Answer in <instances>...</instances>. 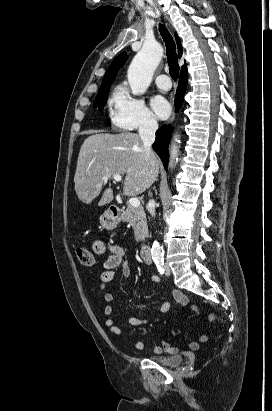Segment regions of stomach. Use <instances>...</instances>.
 Returning <instances> with one entry per match:
<instances>
[{
  "label": "stomach",
  "mask_w": 272,
  "mask_h": 411,
  "mask_svg": "<svg viewBox=\"0 0 272 411\" xmlns=\"http://www.w3.org/2000/svg\"><path fill=\"white\" fill-rule=\"evenodd\" d=\"M99 220H100L101 226H102L104 229H107V230H112V229L116 228L117 225H118L119 222H120V218L114 216V215L111 214V212H109V211L104 212V213L100 216Z\"/></svg>",
  "instance_id": "0dacf381"
}]
</instances>
